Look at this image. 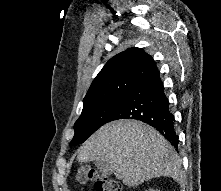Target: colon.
I'll return each mask as SVG.
<instances>
[{"label": "colon", "mask_w": 221, "mask_h": 191, "mask_svg": "<svg viewBox=\"0 0 221 191\" xmlns=\"http://www.w3.org/2000/svg\"><path fill=\"white\" fill-rule=\"evenodd\" d=\"M76 181L81 185L91 181L96 191H124L119 181L111 179L89 166H82L77 170Z\"/></svg>", "instance_id": "obj_1"}]
</instances>
